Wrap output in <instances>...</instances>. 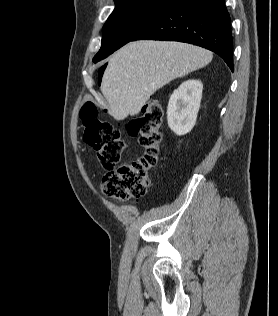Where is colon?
<instances>
[{
    "label": "colon",
    "mask_w": 278,
    "mask_h": 316,
    "mask_svg": "<svg viewBox=\"0 0 278 316\" xmlns=\"http://www.w3.org/2000/svg\"><path fill=\"white\" fill-rule=\"evenodd\" d=\"M80 117L83 123L84 141L97 152L106 174L101 181L102 193L113 199L127 200L146 194L149 186V172L157 164L161 142L163 110L157 101L148 102L140 117L129 122L130 135L139 136L145 153L138 160L121 164L125 143L120 130L100 118L92 102L83 105Z\"/></svg>",
    "instance_id": "colon-1"
}]
</instances>
